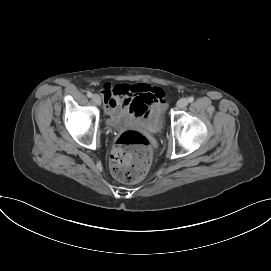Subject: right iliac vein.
Wrapping results in <instances>:
<instances>
[{
    "label": "right iliac vein",
    "mask_w": 271,
    "mask_h": 271,
    "mask_svg": "<svg viewBox=\"0 0 271 271\" xmlns=\"http://www.w3.org/2000/svg\"><path fill=\"white\" fill-rule=\"evenodd\" d=\"M92 100L96 105H100L101 104V97L98 94H94L92 96Z\"/></svg>",
    "instance_id": "1"
}]
</instances>
